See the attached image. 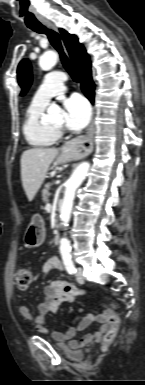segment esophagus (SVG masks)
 Instances as JSON below:
<instances>
[{
  "mask_svg": "<svg viewBox=\"0 0 145 385\" xmlns=\"http://www.w3.org/2000/svg\"><path fill=\"white\" fill-rule=\"evenodd\" d=\"M45 24L57 30L56 27L48 21H45ZM93 135H94V123L93 121L88 127L87 133L84 136H79L66 144L68 150L79 157H85L90 154L93 150Z\"/></svg>",
  "mask_w": 145,
  "mask_h": 385,
  "instance_id": "1",
  "label": "esophagus"
}]
</instances>
